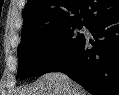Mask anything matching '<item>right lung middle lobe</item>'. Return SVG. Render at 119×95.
<instances>
[{
  "label": "right lung middle lobe",
  "instance_id": "right-lung-middle-lobe-1",
  "mask_svg": "<svg viewBox=\"0 0 119 95\" xmlns=\"http://www.w3.org/2000/svg\"><path fill=\"white\" fill-rule=\"evenodd\" d=\"M82 26L80 23L47 24L23 35L18 47V77L47 73L84 38L77 30Z\"/></svg>",
  "mask_w": 119,
  "mask_h": 95
}]
</instances>
